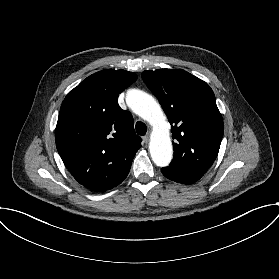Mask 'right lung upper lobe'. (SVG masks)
Listing matches in <instances>:
<instances>
[{"label": "right lung upper lobe", "mask_w": 279, "mask_h": 279, "mask_svg": "<svg viewBox=\"0 0 279 279\" xmlns=\"http://www.w3.org/2000/svg\"><path fill=\"white\" fill-rule=\"evenodd\" d=\"M136 78L125 70H102L71 90L61 105L55 132L58 153L75 180L91 191L119 185L141 147L132 115L117 102Z\"/></svg>", "instance_id": "cb5924a9"}]
</instances>
